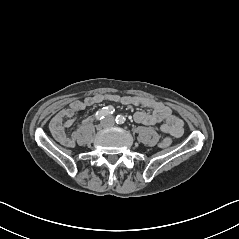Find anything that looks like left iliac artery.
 I'll return each instance as SVG.
<instances>
[{
	"instance_id": "44dca946",
	"label": "left iliac artery",
	"mask_w": 239,
	"mask_h": 239,
	"mask_svg": "<svg viewBox=\"0 0 239 239\" xmlns=\"http://www.w3.org/2000/svg\"><path fill=\"white\" fill-rule=\"evenodd\" d=\"M116 122H117V124H120V125L124 124V122H125V117L122 116V115H118V116L116 117Z\"/></svg>"
}]
</instances>
